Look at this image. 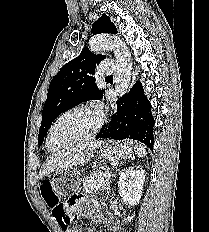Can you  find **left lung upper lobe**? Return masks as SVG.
<instances>
[{
  "mask_svg": "<svg viewBox=\"0 0 209 232\" xmlns=\"http://www.w3.org/2000/svg\"><path fill=\"white\" fill-rule=\"evenodd\" d=\"M92 33L116 34L117 29L110 18L103 14L94 22ZM105 57V55H95L84 47L79 56L65 64L52 79L42 111L39 145H42L52 122L63 111L85 101L102 99L104 90L98 89L94 74L96 66Z\"/></svg>",
  "mask_w": 209,
  "mask_h": 232,
  "instance_id": "1",
  "label": "left lung upper lobe"
}]
</instances>
